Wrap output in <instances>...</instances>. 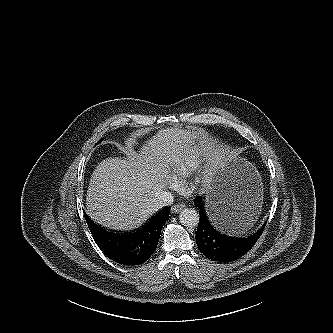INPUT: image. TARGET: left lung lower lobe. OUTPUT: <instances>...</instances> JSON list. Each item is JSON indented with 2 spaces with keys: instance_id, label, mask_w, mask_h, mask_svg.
Instances as JSON below:
<instances>
[{
  "instance_id": "obj_1",
  "label": "left lung lower lobe",
  "mask_w": 333,
  "mask_h": 333,
  "mask_svg": "<svg viewBox=\"0 0 333 333\" xmlns=\"http://www.w3.org/2000/svg\"><path fill=\"white\" fill-rule=\"evenodd\" d=\"M194 204L199 208V224L195 235L200 251L213 261L231 262L247 253L261 236L266 223L247 238L231 237L218 232L208 220L202 198L198 196Z\"/></svg>"
}]
</instances>
